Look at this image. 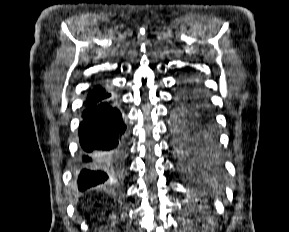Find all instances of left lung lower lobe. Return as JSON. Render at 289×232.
<instances>
[{
    "label": "left lung lower lobe",
    "instance_id": "obj_1",
    "mask_svg": "<svg viewBox=\"0 0 289 232\" xmlns=\"http://www.w3.org/2000/svg\"><path fill=\"white\" fill-rule=\"evenodd\" d=\"M184 99L186 105L181 115L187 114L197 126L201 135L218 143V132L214 116L209 108L207 97L195 76L189 75L184 79Z\"/></svg>",
    "mask_w": 289,
    "mask_h": 232
}]
</instances>
